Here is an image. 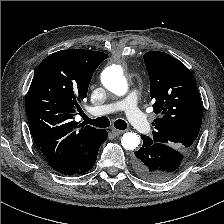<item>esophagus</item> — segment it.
Here are the masks:
<instances>
[{"label": "esophagus", "mask_w": 224, "mask_h": 224, "mask_svg": "<svg viewBox=\"0 0 224 224\" xmlns=\"http://www.w3.org/2000/svg\"><path fill=\"white\" fill-rule=\"evenodd\" d=\"M111 132H112L113 135L118 136V135L122 134L124 131L112 128Z\"/></svg>", "instance_id": "34e87169"}]
</instances>
